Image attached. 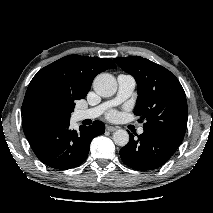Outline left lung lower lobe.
Wrapping results in <instances>:
<instances>
[{
	"mask_svg": "<svg viewBox=\"0 0 213 213\" xmlns=\"http://www.w3.org/2000/svg\"><path fill=\"white\" fill-rule=\"evenodd\" d=\"M129 143L120 150L122 161L136 170H153L161 167L175 153L182 139L171 134L144 129L137 135L129 133Z\"/></svg>",
	"mask_w": 213,
	"mask_h": 213,
	"instance_id": "left-lung-lower-lobe-1",
	"label": "left lung lower lobe"
}]
</instances>
